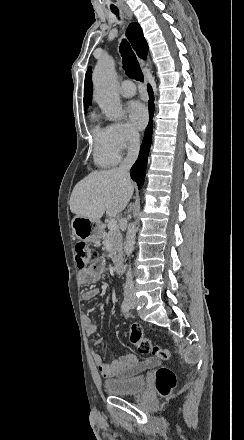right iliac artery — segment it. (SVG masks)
<instances>
[{"mask_svg":"<svg viewBox=\"0 0 244 440\" xmlns=\"http://www.w3.org/2000/svg\"><path fill=\"white\" fill-rule=\"evenodd\" d=\"M121 308H122V310H123L124 312H129V310H130V304H129V301L125 299V300L122 302Z\"/></svg>","mask_w":244,"mask_h":440,"instance_id":"right-iliac-artery-1","label":"right iliac artery"}]
</instances>
